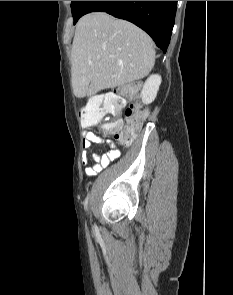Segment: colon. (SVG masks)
Instances as JSON below:
<instances>
[{"label":"colon","instance_id":"1","mask_svg":"<svg viewBox=\"0 0 233 295\" xmlns=\"http://www.w3.org/2000/svg\"><path fill=\"white\" fill-rule=\"evenodd\" d=\"M140 89L137 83L125 85L114 92L100 95L89 101L81 110V120L91 125L107 116L116 117L124 111V118L105 123L101 129L122 145H129L135 139L147 117V111L134 103L127 104Z\"/></svg>","mask_w":233,"mask_h":295}]
</instances>
